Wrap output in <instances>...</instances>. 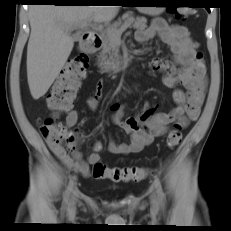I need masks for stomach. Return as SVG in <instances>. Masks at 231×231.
I'll return each instance as SVG.
<instances>
[{"mask_svg":"<svg viewBox=\"0 0 231 231\" xmlns=\"http://www.w3.org/2000/svg\"><path fill=\"white\" fill-rule=\"evenodd\" d=\"M142 4H160L162 1L159 0H143L140 1ZM164 7H150V6H145V7H138V11L144 14L148 15H159L164 11Z\"/></svg>","mask_w":231,"mask_h":231,"instance_id":"obj_1","label":"stomach"}]
</instances>
